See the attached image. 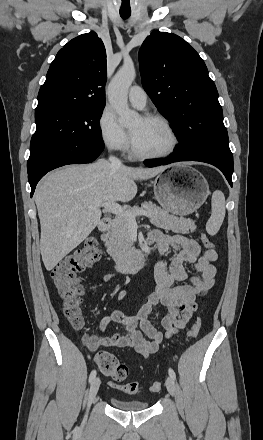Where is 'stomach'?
<instances>
[{
  "mask_svg": "<svg viewBox=\"0 0 263 440\" xmlns=\"http://www.w3.org/2000/svg\"><path fill=\"white\" fill-rule=\"evenodd\" d=\"M157 202L167 212L186 216L201 207L209 195L205 177L190 166H174L153 182Z\"/></svg>",
  "mask_w": 263,
  "mask_h": 440,
  "instance_id": "0dacf381",
  "label": "stomach"
}]
</instances>
